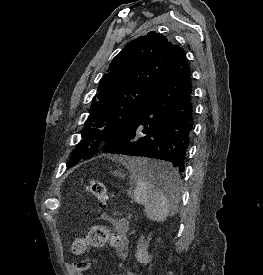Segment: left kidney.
<instances>
[{
    "instance_id": "5707ae66",
    "label": "left kidney",
    "mask_w": 263,
    "mask_h": 275,
    "mask_svg": "<svg viewBox=\"0 0 263 275\" xmlns=\"http://www.w3.org/2000/svg\"><path fill=\"white\" fill-rule=\"evenodd\" d=\"M147 249H148V241H146L142 236L138 241L137 251L135 255L138 262L147 264L151 261L148 255Z\"/></svg>"
}]
</instances>
